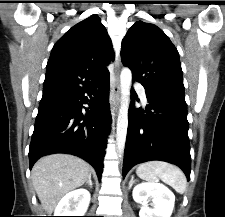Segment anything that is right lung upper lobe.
<instances>
[{"mask_svg":"<svg viewBox=\"0 0 225 217\" xmlns=\"http://www.w3.org/2000/svg\"><path fill=\"white\" fill-rule=\"evenodd\" d=\"M114 58L111 40L97 15L70 28L53 46L46 67L43 96L93 88L109 78Z\"/></svg>","mask_w":225,"mask_h":217,"instance_id":"obj_1","label":"right lung upper lobe"}]
</instances>
